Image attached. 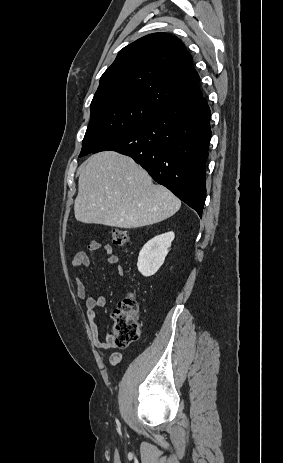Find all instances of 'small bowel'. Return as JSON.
Masks as SVG:
<instances>
[{
    "label": "small bowel",
    "instance_id": "small-bowel-1",
    "mask_svg": "<svg viewBox=\"0 0 283 463\" xmlns=\"http://www.w3.org/2000/svg\"><path fill=\"white\" fill-rule=\"evenodd\" d=\"M102 250L107 255V263L116 268L118 275L122 276L124 274L123 267L119 264V258L113 253V248L110 244H101L97 240H88L85 242L83 247L75 254L71 260V266L73 269H79L82 266L89 267L91 265V260L88 256V251H99ZM76 293L79 299L85 300L86 302V315L89 320V331L90 337L99 350H108L116 347L112 335L107 334L104 340H101L99 337V330L97 324V309L103 307L106 304V298L104 295L98 297H93L87 295L86 287L84 283L76 278L75 279ZM123 355L119 352H113L110 355L109 361L112 365H118L122 362Z\"/></svg>",
    "mask_w": 283,
    "mask_h": 463
}]
</instances>
